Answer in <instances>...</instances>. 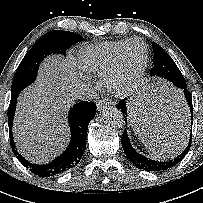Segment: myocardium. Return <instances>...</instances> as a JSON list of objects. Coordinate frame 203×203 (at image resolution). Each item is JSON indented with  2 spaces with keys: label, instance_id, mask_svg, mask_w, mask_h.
Returning <instances> with one entry per match:
<instances>
[{
  "label": "myocardium",
  "instance_id": "1",
  "mask_svg": "<svg viewBox=\"0 0 203 203\" xmlns=\"http://www.w3.org/2000/svg\"><path fill=\"white\" fill-rule=\"evenodd\" d=\"M139 43L144 49V58L138 69L130 77L126 76L124 73V65L127 56V52L131 45ZM148 48L147 45L140 39L134 38L130 39L128 43L123 48L117 61L115 62L112 69L106 75L105 84L108 90L116 97H127L129 96L138 86L145 69L148 64Z\"/></svg>",
  "mask_w": 203,
  "mask_h": 203
}]
</instances>
